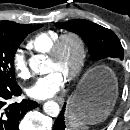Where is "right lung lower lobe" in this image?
<instances>
[{"instance_id":"1","label":"right lung lower lobe","mask_w":130,"mask_h":130,"mask_svg":"<svg viewBox=\"0 0 130 130\" xmlns=\"http://www.w3.org/2000/svg\"><path fill=\"white\" fill-rule=\"evenodd\" d=\"M21 92L16 83L9 84L0 80V130H19V121L23 115L38 106L37 102L28 99L21 103H8L9 99Z\"/></svg>"}]
</instances>
